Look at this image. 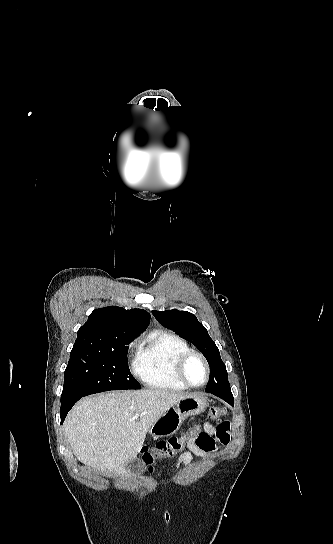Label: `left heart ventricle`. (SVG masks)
Segmentation results:
<instances>
[{"label": "left heart ventricle", "mask_w": 333, "mask_h": 544, "mask_svg": "<svg viewBox=\"0 0 333 544\" xmlns=\"http://www.w3.org/2000/svg\"><path fill=\"white\" fill-rule=\"evenodd\" d=\"M185 372L188 380L195 385L202 384L206 379V369L204 364L197 357H193L188 362Z\"/></svg>", "instance_id": "obj_1"}]
</instances>
